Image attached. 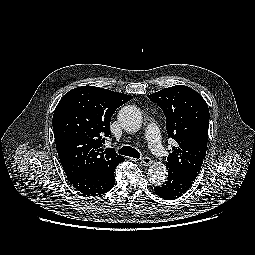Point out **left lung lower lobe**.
<instances>
[{"label": "left lung lower lobe", "instance_id": "left-lung-lower-lobe-1", "mask_svg": "<svg viewBox=\"0 0 255 255\" xmlns=\"http://www.w3.org/2000/svg\"><path fill=\"white\" fill-rule=\"evenodd\" d=\"M167 170V181H165L163 185L155 187L154 191L160 198L173 200L186 193L194 179L173 171L172 169L167 168Z\"/></svg>", "mask_w": 255, "mask_h": 255}]
</instances>
